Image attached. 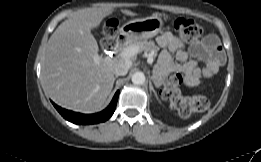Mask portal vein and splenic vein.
I'll use <instances>...</instances> for the list:
<instances>
[{
	"label": "portal vein and splenic vein",
	"mask_w": 261,
	"mask_h": 162,
	"mask_svg": "<svg viewBox=\"0 0 261 162\" xmlns=\"http://www.w3.org/2000/svg\"><path fill=\"white\" fill-rule=\"evenodd\" d=\"M140 52V49L136 46H128L125 47L121 52L119 53L120 58L129 59L135 55H137ZM147 62L149 64L153 63V56H149L147 59Z\"/></svg>",
	"instance_id": "18ae733b"
}]
</instances>
